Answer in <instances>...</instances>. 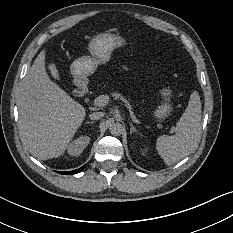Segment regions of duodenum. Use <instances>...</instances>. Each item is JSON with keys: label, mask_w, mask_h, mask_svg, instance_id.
<instances>
[{"label": "duodenum", "mask_w": 233, "mask_h": 233, "mask_svg": "<svg viewBox=\"0 0 233 233\" xmlns=\"http://www.w3.org/2000/svg\"><path fill=\"white\" fill-rule=\"evenodd\" d=\"M88 92V80L83 77H79L75 80V88L73 94L76 97H82Z\"/></svg>", "instance_id": "duodenum-1"}]
</instances>
